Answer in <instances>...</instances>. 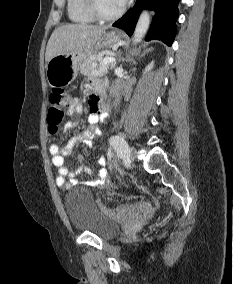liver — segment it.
Segmentation results:
<instances>
[{"label":"liver","mask_w":233,"mask_h":284,"mask_svg":"<svg viewBox=\"0 0 233 284\" xmlns=\"http://www.w3.org/2000/svg\"><path fill=\"white\" fill-rule=\"evenodd\" d=\"M106 29L85 24H68L56 28L48 41L45 61L48 63L57 55L92 46Z\"/></svg>","instance_id":"1"}]
</instances>
